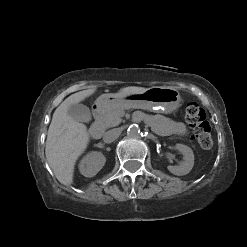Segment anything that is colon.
Returning a JSON list of instances; mask_svg holds the SVG:
<instances>
[{
  "instance_id": "5ec220e1",
  "label": "colon",
  "mask_w": 247,
  "mask_h": 247,
  "mask_svg": "<svg viewBox=\"0 0 247 247\" xmlns=\"http://www.w3.org/2000/svg\"><path fill=\"white\" fill-rule=\"evenodd\" d=\"M185 118L189 126L193 129L194 137L198 144L209 149L213 145L211 127L206 120V113L197 103L191 102L186 105Z\"/></svg>"
}]
</instances>
